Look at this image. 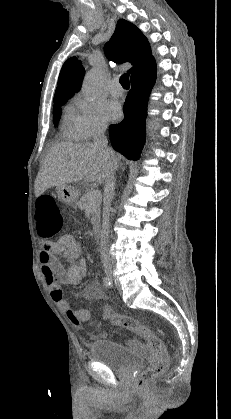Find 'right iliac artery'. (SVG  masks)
Returning <instances> with one entry per match:
<instances>
[{"label": "right iliac artery", "mask_w": 231, "mask_h": 419, "mask_svg": "<svg viewBox=\"0 0 231 419\" xmlns=\"http://www.w3.org/2000/svg\"><path fill=\"white\" fill-rule=\"evenodd\" d=\"M103 284H104L105 287H110L111 280L108 277H104L103 278Z\"/></svg>", "instance_id": "1"}]
</instances>
